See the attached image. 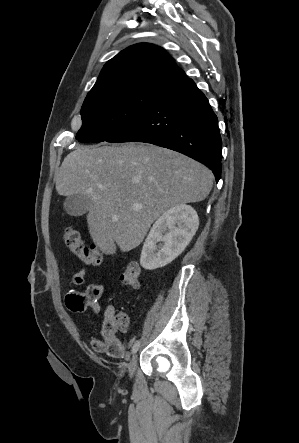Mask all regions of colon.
<instances>
[{"label": "colon", "instance_id": "obj_1", "mask_svg": "<svg viewBox=\"0 0 299 443\" xmlns=\"http://www.w3.org/2000/svg\"><path fill=\"white\" fill-rule=\"evenodd\" d=\"M63 240L73 254L83 263L89 266H97L102 262V252L95 246H86L77 230L72 227H65L63 229ZM140 269L136 262H130L124 268L120 275L122 284L130 287H137L139 284ZM127 325L126 315L119 313L113 317L109 322V329L113 333H117L124 329Z\"/></svg>", "mask_w": 299, "mask_h": 443}]
</instances>
